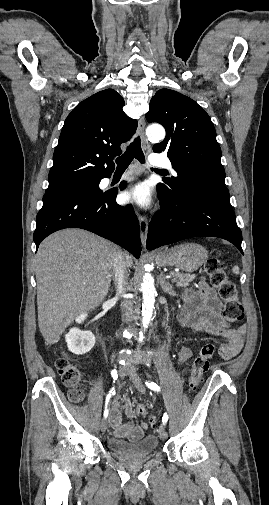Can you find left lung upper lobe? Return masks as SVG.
Returning <instances> with one entry per match:
<instances>
[{
  "label": "left lung upper lobe",
  "mask_w": 269,
  "mask_h": 505,
  "mask_svg": "<svg viewBox=\"0 0 269 505\" xmlns=\"http://www.w3.org/2000/svg\"><path fill=\"white\" fill-rule=\"evenodd\" d=\"M149 107L147 121L162 124L167 133L153 151L166 152L178 175L164 179L157 189L172 197L196 182L225 186L221 149L209 115L194 100L170 89L157 91Z\"/></svg>",
  "instance_id": "obj_1"
}]
</instances>
